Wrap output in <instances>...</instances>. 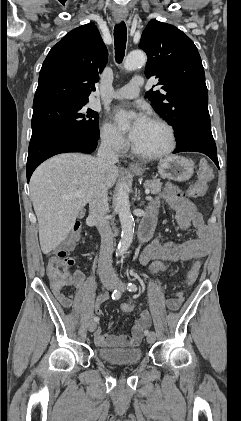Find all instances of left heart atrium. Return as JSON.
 Listing matches in <instances>:
<instances>
[{
  "label": "left heart atrium",
  "mask_w": 241,
  "mask_h": 421,
  "mask_svg": "<svg viewBox=\"0 0 241 421\" xmlns=\"http://www.w3.org/2000/svg\"><path fill=\"white\" fill-rule=\"evenodd\" d=\"M124 116H125V112L118 111L116 116H115V119H116V121L120 122V121H122ZM147 122H148V118L145 115H143V114L138 115V117L136 118L135 122L133 123V126L130 130V133H129V138L133 142L136 140V138L140 134L141 130L145 127Z\"/></svg>",
  "instance_id": "39dd6f15"
}]
</instances>
